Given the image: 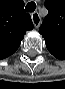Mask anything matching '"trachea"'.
<instances>
[{
    "instance_id": "3493384b",
    "label": "trachea",
    "mask_w": 65,
    "mask_h": 89,
    "mask_svg": "<svg viewBox=\"0 0 65 89\" xmlns=\"http://www.w3.org/2000/svg\"><path fill=\"white\" fill-rule=\"evenodd\" d=\"M35 9H36V4H35V2H29L27 5H26V7H25V10H26V12H34L35 11Z\"/></svg>"
}]
</instances>
